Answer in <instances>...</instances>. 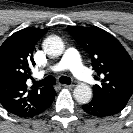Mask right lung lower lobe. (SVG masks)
Returning a JSON list of instances; mask_svg holds the SVG:
<instances>
[{
  "label": "right lung lower lobe",
  "instance_id": "98d812e1",
  "mask_svg": "<svg viewBox=\"0 0 133 133\" xmlns=\"http://www.w3.org/2000/svg\"><path fill=\"white\" fill-rule=\"evenodd\" d=\"M55 95H56V92L54 91V95H53V98H52L51 102L45 107V109H44L43 111H45V110L52 104ZM43 111H42V112H43ZM42 112H41V113H42Z\"/></svg>",
  "mask_w": 133,
  "mask_h": 133
}]
</instances>
